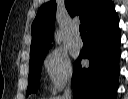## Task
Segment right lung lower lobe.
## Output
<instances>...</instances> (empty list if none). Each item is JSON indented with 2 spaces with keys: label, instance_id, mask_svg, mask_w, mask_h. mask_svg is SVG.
<instances>
[{
  "label": "right lung lower lobe",
  "instance_id": "1",
  "mask_svg": "<svg viewBox=\"0 0 128 99\" xmlns=\"http://www.w3.org/2000/svg\"><path fill=\"white\" fill-rule=\"evenodd\" d=\"M89 45L82 49L73 69L74 99H115L118 88L120 30L114 4L88 28ZM89 59L82 68L80 59Z\"/></svg>",
  "mask_w": 128,
  "mask_h": 99
}]
</instances>
